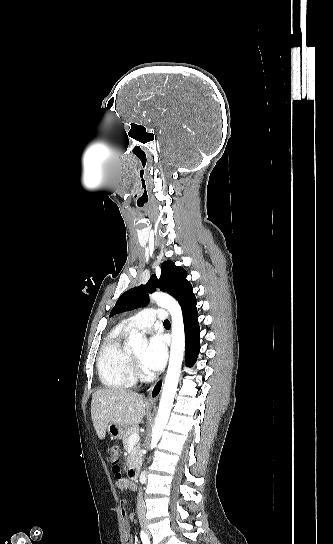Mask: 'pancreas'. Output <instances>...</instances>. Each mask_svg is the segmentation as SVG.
<instances>
[{
  "label": "pancreas",
  "instance_id": "1",
  "mask_svg": "<svg viewBox=\"0 0 333 544\" xmlns=\"http://www.w3.org/2000/svg\"><path fill=\"white\" fill-rule=\"evenodd\" d=\"M137 432H138V426L137 425L132 426V427L125 430V433L122 436V440H123L125 450L129 449V442H128L129 437L132 434L137 433ZM140 455H141L140 445L136 443L132 447L130 455H128V457H127V465L131 466L134 462H136L139 459Z\"/></svg>",
  "mask_w": 333,
  "mask_h": 544
}]
</instances>
